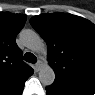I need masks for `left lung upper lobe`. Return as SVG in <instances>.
<instances>
[{
	"instance_id": "left-lung-upper-lobe-1",
	"label": "left lung upper lobe",
	"mask_w": 95,
	"mask_h": 95,
	"mask_svg": "<svg viewBox=\"0 0 95 95\" xmlns=\"http://www.w3.org/2000/svg\"><path fill=\"white\" fill-rule=\"evenodd\" d=\"M48 46L55 81L95 87V26L67 13L41 14L30 20Z\"/></svg>"
}]
</instances>
